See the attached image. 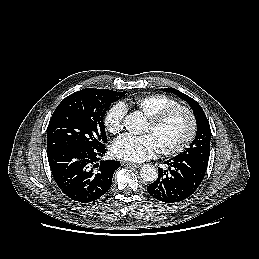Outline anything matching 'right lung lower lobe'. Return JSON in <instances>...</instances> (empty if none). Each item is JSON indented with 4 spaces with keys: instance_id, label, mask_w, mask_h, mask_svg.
<instances>
[{
    "instance_id": "1",
    "label": "right lung lower lobe",
    "mask_w": 259,
    "mask_h": 259,
    "mask_svg": "<svg viewBox=\"0 0 259 259\" xmlns=\"http://www.w3.org/2000/svg\"><path fill=\"white\" fill-rule=\"evenodd\" d=\"M105 153V146L63 147L48 153L52 175L62 192L81 203L105 194L111 187L114 171L121 166L115 160L96 163Z\"/></svg>"
}]
</instances>
